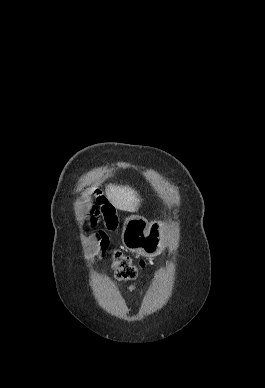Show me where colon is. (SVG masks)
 <instances>
[{"label": "colon", "instance_id": "colon-1", "mask_svg": "<svg viewBox=\"0 0 265 388\" xmlns=\"http://www.w3.org/2000/svg\"><path fill=\"white\" fill-rule=\"evenodd\" d=\"M91 220L95 224L98 218H102L108 230H114L118 224V217L114 206L99 192L96 205L91 209ZM101 249L105 251L108 247V241L103 231H98L95 235ZM112 268L115 277L124 283H129L137 276V268L130 257L124 255L121 251L115 250L112 253ZM128 289H133L132 285Z\"/></svg>", "mask_w": 265, "mask_h": 388}]
</instances>
